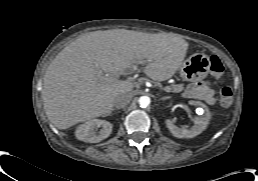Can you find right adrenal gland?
<instances>
[{
  "label": "right adrenal gland",
  "mask_w": 258,
  "mask_h": 181,
  "mask_svg": "<svg viewBox=\"0 0 258 181\" xmlns=\"http://www.w3.org/2000/svg\"><path fill=\"white\" fill-rule=\"evenodd\" d=\"M115 112H116V109H115V108H112L108 115H112V114L115 113Z\"/></svg>",
  "instance_id": "2a0ac1e0"
}]
</instances>
